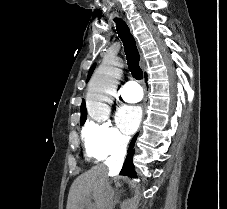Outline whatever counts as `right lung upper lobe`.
<instances>
[{
    "instance_id": "1",
    "label": "right lung upper lobe",
    "mask_w": 227,
    "mask_h": 209,
    "mask_svg": "<svg viewBox=\"0 0 227 209\" xmlns=\"http://www.w3.org/2000/svg\"><path fill=\"white\" fill-rule=\"evenodd\" d=\"M94 68H95V64L89 70L87 81L89 80V78H90V76H91ZM145 76H146V73H145ZM86 116H87V111H86L85 100L82 99V104H81V119H86Z\"/></svg>"
}]
</instances>
